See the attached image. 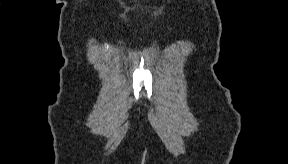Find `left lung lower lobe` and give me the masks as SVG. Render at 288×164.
<instances>
[{"label": "left lung lower lobe", "mask_w": 288, "mask_h": 164, "mask_svg": "<svg viewBox=\"0 0 288 164\" xmlns=\"http://www.w3.org/2000/svg\"><path fill=\"white\" fill-rule=\"evenodd\" d=\"M261 72L255 69H252L249 73H248V79L253 82V83H260L261 82Z\"/></svg>", "instance_id": "0a47b994"}]
</instances>
